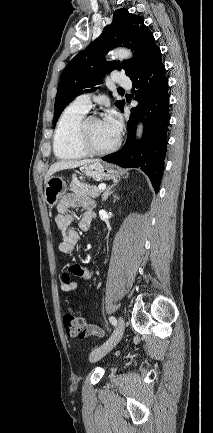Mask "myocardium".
Returning a JSON list of instances; mask_svg holds the SVG:
<instances>
[{
	"label": "myocardium",
	"instance_id": "1",
	"mask_svg": "<svg viewBox=\"0 0 213 433\" xmlns=\"http://www.w3.org/2000/svg\"><path fill=\"white\" fill-rule=\"evenodd\" d=\"M99 119L100 118L94 114L85 115L77 127L76 138L78 146L88 155L101 156L110 154L117 150L121 143V137L118 135L115 143L106 149H97L92 146L88 137V125L91 121Z\"/></svg>",
	"mask_w": 213,
	"mask_h": 433
}]
</instances>
